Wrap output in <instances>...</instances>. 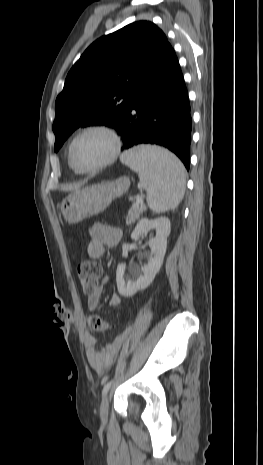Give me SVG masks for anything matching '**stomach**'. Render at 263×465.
<instances>
[{"mask_svg":"<svg viewBox=\"0 0 263 465\" xmlns=\"http://www.w3.org/2000/svg\"><path fill=\"white\" fill-rule=\"evenodd\" d=\"M130 186L128 177L105 184L92 185L69 194L61 203V212L68 223H78L103 212L113 199L122 196Z\"/></svg>","mask_w":263,"mask_h":465,"instance_id":"stomach-1","label":"stomach"}]
</instances>
